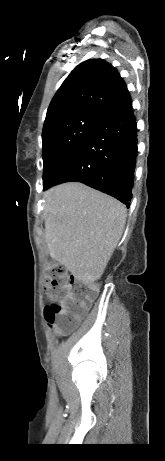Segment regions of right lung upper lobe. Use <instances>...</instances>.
<instances>
[{
	"mask_svg": "<svg viewBox=\"0 0 165 461\" xmlns=\"http://www.w3.org/2000/svg\"><path fill=\"white\" fill-rule=\"evenodd\" d=\"M132 104L127 86L115 67L102 59L80 63L53 97L44 128L54 120L91 115L100 119Z\"/></svg>",
	"mask_w": 165,
	"mask_h": 461,
	"instance_id": "1",
	"label": "right lung upper lobe"
}]
</instances>
